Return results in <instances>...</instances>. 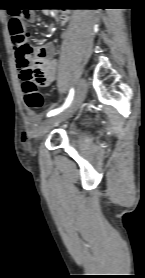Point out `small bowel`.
Instances as JSON below:
<instances>
[{
	"label": "small bowel",
	"mask_w": 145,
	"mask_h": 278,
	"mask_svg": "<svg viewBox=\"0 0 145 278\" xmlns=\"http://www.w3.org/2000/svg\"><path fill=\"white\" fill-rule=\"evenodd\" d=\"M47 12L48 10H44ZM34 15H32V19ZM12 44L14 48V58L16 62V67L21 77L31 69L35 64H37L44 72L45 79L42 83L43 88H48L57 77V62L55 59V47L50 41L44 42L40 45L33 46L31 55L17 54L18 45L14 43L13 37L11 36ZM31 131H28L26 136L30 135Z\"/></svg>",
	"instance_id": "small-bowel-1"
}]
</instances>
